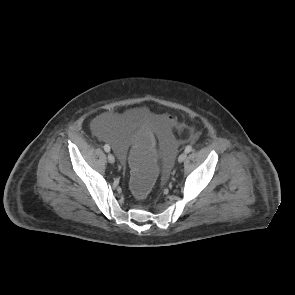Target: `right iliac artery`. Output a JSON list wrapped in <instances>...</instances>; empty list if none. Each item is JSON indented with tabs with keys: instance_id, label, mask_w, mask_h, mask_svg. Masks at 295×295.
<instances>
[{
	"instance_id": "right-iliac-artery-1",
	"label": "right iliac artery",
	"mask_w": 295,
	"mask_h": 295,
	"mask_svg": "<svg viewBox=\"0 0 295 295\" xmlns=\"http://www.w3.org/2000/svg\"><path fill=\"white\" fill-rule=\"evenodd\" d=\"M104 150L106 152H109L110 151V146L108 144L104 145Z\"/></svg>"
}]
</instances>
